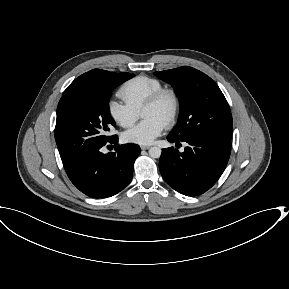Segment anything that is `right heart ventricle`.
I'll use <instances>...</instances> for the list:
<instances>
[{"instance_id":"right-heart-ventricle-1","label":"right heart ventricle","mask_w":289,"mask_h":289,"mask_svg":"<svg viewBox=\"0 0 289 289\" xmlns=\"http://www.w3.org/2000/svg\"><path fill=\"white\" fill-rule=\"evenodd\" d=\"M162 87L163 84L160 80L139 75L125 82L118 94L127 105L139 112L148 97Z\"/></svg>"}]
</instances>
